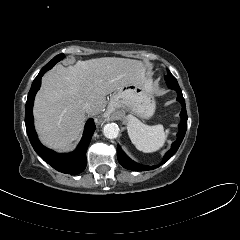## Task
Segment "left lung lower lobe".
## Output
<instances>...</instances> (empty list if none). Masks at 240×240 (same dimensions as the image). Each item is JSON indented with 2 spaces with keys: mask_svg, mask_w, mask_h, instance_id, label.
Instances as JSON below:
<instances>
[{
  "mask_svg": "<svg viewBox=\"0 0 240 240\" xmlns=\"http://www.w3.org/2000/svg\"><path fill=\"white\" fill-rule=\"evenodd\" d=\"M167 85L169 88L174 89L177 92V100L182 104V111L180 113L181 116V123L179 124V132L177 134V140L172 144L171 149L165 154L163 161L158 166L164 164L168 159H170L178 150L187 129V113L185 107V101L182 95V91L178 85L177 80H166ZM117 158L119 163L126 169L133 170V171H147L152 170L157 166H142L134 161H132L127 155L122 151L120 146H117Z\"/></svg>",
  "mask_w": 240,
  "mask_h": 240,
  "instance_id": "1",
  "label": "left lung lower lobe"
}]
</instances>
